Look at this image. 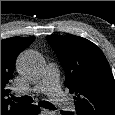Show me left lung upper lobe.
Returning a JSON list of instances; mask_svg holds the SVG:
<instances>
[{"mask_svg":"<svg viewBox=\"0 0 115 115\" xmlns=\"http://www.w3.org/2000/svg\"><path fill=\"white\" fill-rule=\"evenodd\" d=\"M46 39L65 70V86L74 95L75 114L115 115V80L102 51L75 35H49Z\"/></svg>","mask_w":115,"mask_h":115,"instance_id":"1","label":"left lung upper lobe"}]
</instances>
